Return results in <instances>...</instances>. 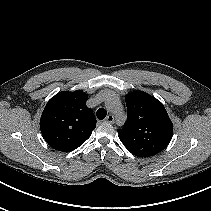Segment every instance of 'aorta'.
Listing matches in <instances>:
<instances>
[{
  "mask_svg": "<svg viewBox=\"0 0 211 211\" xmlns=\"http://www.w3.org/2000/svg\"><path fill=\"white\" fill-rule=\"evenodd\" d=\"M107 107L115 111L117 115L121 114V104L116 99H111L107 102Z\"/></svg>",
  "mask_w": 211,
  "mask_h": 211,
  "instance_id": "aorta-1",
  "label": "aorta"
}]
</instances>
